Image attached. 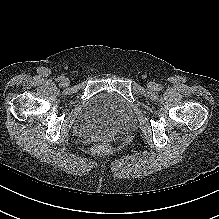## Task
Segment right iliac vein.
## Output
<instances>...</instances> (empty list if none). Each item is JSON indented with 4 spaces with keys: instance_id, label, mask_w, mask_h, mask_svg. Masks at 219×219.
<instances>
[{
    "instance_id": "right-iliac-vein-1",
    "label": "right iliac vein",
    "mask_w": 219,
    "mask_h": 219,
    "mask_svg": "<svg viewBox=\"0 0 219 219\" xmlns=\"http://www.w3.org/2000/svg\"><path fill=\"white\" fill-rule=\"evenodd\" d=\"M61 84L64 87H67L70 84V80L68 78H63L62 81H61Z\"/></svg>"
}]
</instances>
